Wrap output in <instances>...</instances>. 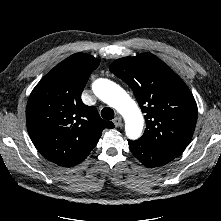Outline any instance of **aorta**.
Masks as SVG:
<instances>
[{"mask_svg": "<svg viewBox=\"0 0 221 221\" xmlns=\"http://www.w3.org/2000/svg\"><path fill=\"white\" fill-rule=\"evenodd\" d=\"M94 94L116 109L125 120V133L129 139H138L142 133L144 118L135 101L116 83L99 78L92 84Z\"/></svg>", "mask_w": 221, "mask_h": 221, "instance_id": "762f6f07", "label": "aorta"}]
</instances>
